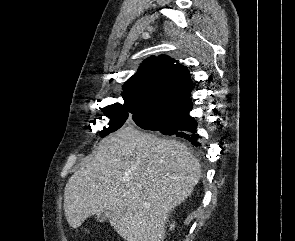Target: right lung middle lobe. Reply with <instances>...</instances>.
I'll return each instance as SVG.
<instances>
[{"instance_id": "obj_1", "label": "right lung middle lobe", "mask_w": 295, "mask_h": 241, "mask_svg": "<svg viewBox=\"0 0 295 241\" xmlns=\"http://www.w3.org/2000/svg\"><path fill=\"white\" fill-rule=\"evenodd\" d=\"M104 115L110 120L99 133L104 137L117 131L131 119L141 128H144L166 116L165 113L145 109L132 103H115L104 108Z\"/></svg>"}]
</instances>
